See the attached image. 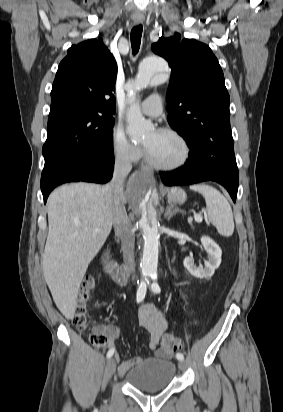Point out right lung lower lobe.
I'll return each instance as SVG.
<instances>
[{
  "mask_svg": "<svg viewBox=\"0 0 283 412\" xmlns=\"http://www.w3.org/2000/svg\"><path fill=\"white\" fill-rule=\"evenodd\" d=\"M114 155L63 152L45 159L41 191L46 203L50 192L66 182H108L113 173Z\"/></svg>",
  "mask_w": 283,
  "mask_h": 412,
  "instance_id": "obj_1",
  "label": "right lung lower lobe"
}]
</instances>
